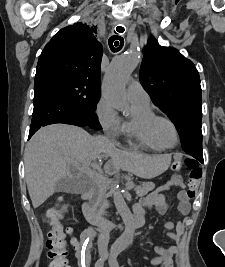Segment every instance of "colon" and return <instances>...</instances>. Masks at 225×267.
Wrapping results in <instances>:
<instances>
[{
    "instance_id": "5ec220e1",
    "label": "colon",
    "mask_w": 225,
    "mask_h": 267,
    "mask_svg": "<svg viewBox=\"0 0 225 267\" xmlns=\"http://www.w3.org/2000/svg\"><path fill=\"white\" fill-rule=\"evenodd\" d=\"M183 166L190 169L188 180V196L194 198L202 179V170L198 163L191 158H183L181 155L174 156L173 170L179 171ZM51 218V229L48 232L46 246L48 248V257L51 260L49 267H70L68 262V251L66 243V233L72 234L73 230L68 228L66 231L61 226L56 212L53 209L49 210ZM74 245H77L76 239L72 240Z\"/></svg>"
}]
</instances>
